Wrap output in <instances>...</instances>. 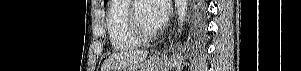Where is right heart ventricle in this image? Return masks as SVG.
Returning <instances> with one entry per match:
<instances>
[{
    "instance_id": "obj_1",
    "label": "right heart ventricle",
    "mask_w": 301,
    "mask_h": 71,
    "mask_svg": "<svg viewBox=\"0 0 301 71\" xmlns=\"http://www.w3.org/2000/svg\"><path fill=\"white\" fill-rule=\"evenodd\" d=\"M130 0H114L109 6L107 31L110 43L116 50L133 49L142 44L130 31L127 11Z\"/></svg>"
}]
</instances>
